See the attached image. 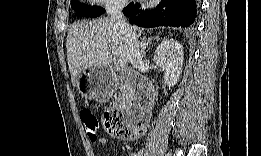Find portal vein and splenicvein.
Segmentation results:
<instances>
[{
    "mask_svg": "<svg viewBox=\"0 0 261 156\" xmlns=\"http://www.w3.org/2000/svg\"><path fill=\"white\" fill-rule=\"evenodd\" d=\"M117 63H118V65H119L120 67H125V65H126V60H124V59H118V60H117Z\"/></svg>",
    "mask_w": 261,
    "mask_h": 156,
    "instance_id": "obj_1",
    "label": "portal vein and splenic vein"
}]
</instances>
